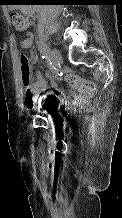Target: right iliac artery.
Instances as JSON below:
<instances>
[{
    "label": "right iliac artery",
    "instance_id": "82829eb1",
    "mask_svg": "<svg viewBox=\"0 0 122 218\" xmlns=\"http://www.w3.org/2000/svg\"><path fill=\"white\" fill-rule=\"evenodd\" d=\"M38 46H39L40 51L42 52V58L45 59L46 64L54 68L55 64L50 58V55H51L50 50L47 47H45V45L42 42H39Z\"/></svg>",
    "mask_w": 122,
    "mask_h": 218
}]
</instances>
